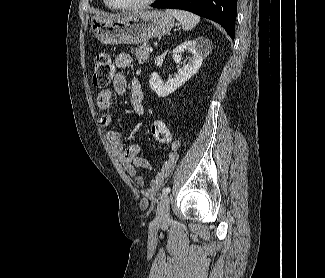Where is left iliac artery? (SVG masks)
Masks as SVG:
<instances>
[{
    "label": "left iliac artery",
    "instance_id": "1",
    "mask_svg": "<svg viewBox=\"0 0 325 278\" xmlns=\"http://www.w3.org/2000/svg\"><path fill=\"white\" fill-rule=\"evenodd\" d=\"M170 187H166L162 190V196L167 195L170 192Z\"/></svg>",
    "mask_w": 325,
    "mask_h": 278
}]
</instances>
